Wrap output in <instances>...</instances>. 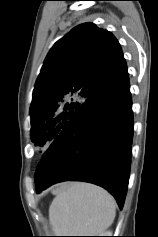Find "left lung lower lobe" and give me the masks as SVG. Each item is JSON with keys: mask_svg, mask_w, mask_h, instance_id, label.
Masks as SVG:
<instances>
[{"mask_svg": "<svg viewBox=\"0 0 158 237\" xmlns=\"http://www.w3.org/2000/svg\"><path fill=\"white\" fill-rule=\"evenodd\" d=\"M131 106L128 76L86 102L43 155L37 192L61 181H85L108 190L122 208L131 165Z\"/></svg>", "mask_w": 158, "mask_h": 237, "instance_id": "left-lung-lower-lobe-1", "label": "left lung lower lobe"}]
</instances>
